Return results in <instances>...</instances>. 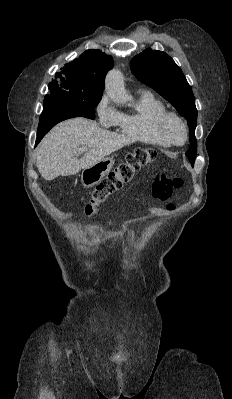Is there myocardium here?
I'll return each instance as SVG.
<instances>
[{
	"instance_id": "f54148a6",
	"label": "myocardium",
	"mask_w": 232,
	"mask_h": 399,
	"mask_svg": "<svg viewBox=\"0 0 232 399\" xmlns=\"http://www.w3.org/2000/svg\"><path fill=\"white\" fill-rule=\"evenodd\" d=\"M171 118L175 119L177 122H179L182 125V127L184 128L186 136H185V140L181 143L176 142L169 135V133L167 131L166 124H167V121ZM155 126H156L157 132L172 145H183L187 142V140L189 138L188 126H187L186 122L182 119V117L179 114H177L176 112L169 111V110L162 112L161 114H159L157 116L156 121H155Z\"/></svg>"
}]
</instances>
